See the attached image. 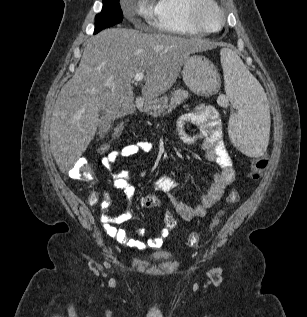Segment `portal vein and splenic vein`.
<instances>
[{"mask_svg": "<svg viewBox=\"0 0 307 317\" xmlns=\"http://www.w3.org/2000/svg\"><path fill=\"white\" fill-rule=\"evenodd\" d=\"M144 73L143 72H140V73H137L135 76H134V81L136 82H140L144 79Z\"/></svg>", "mask_w": 307, "mask_h": 317, "instance_id": "18ae733b", "label": "portal vein and splenic vein"}]
</instances>
